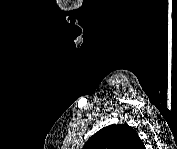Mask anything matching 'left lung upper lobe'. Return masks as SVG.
<instances>
[{"label": "left lung upper lobe", "mask_w": 177, "mask_h": 149, "mask_svg": "<svg viewBox=\"0 0 177 149\" xmlns=\"http://www.w3.org/2000/svg\"><path fill=\"white\" fill-rule=\"evenodd\" d=\"M144 145L133 127L113 124L91 136L84 149H143Z\"/></svg>", "instance_id": "5c2ea615"}]
</instances>
